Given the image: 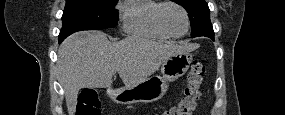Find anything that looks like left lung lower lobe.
Returning a JSON list of instances; mask_svg holds the SVG:
<instances>
[{"label": "left lung lower lobe", "instance_id": "1", "mask_svg": "<svg viewBox=\"0 0 285 115\" xmlns=\"http://www.w3.org/2000/svg\"><path fill=\"white\" fill-rule=\"evenodd\" d=\"M211 39L214 40V36H212Z\"/></svg>", "mask_w": 285, "mask_h": 115}]
</instances>
